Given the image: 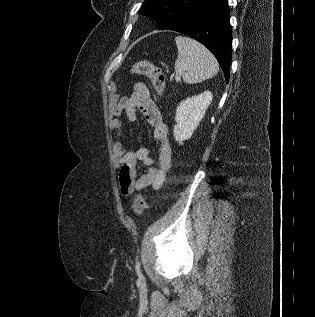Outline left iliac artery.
Instances as JSON below:
<instances>
[{"mask_svg": "<svg viewBox=\"0 0 315 317\" xmlns=\"http://www.w3.org/2000/svg\"><path fill=\"white\" fill-rule=\"evenodd\" d=\"M135 269H136L137 274H138L139 276H141L140 263H139V262L136 263Z\"/></svg>", "mask_w": 315, "mask_h": 317, "instance_id": "obj_1", "label": "left iliac artery"}]
</instances>
